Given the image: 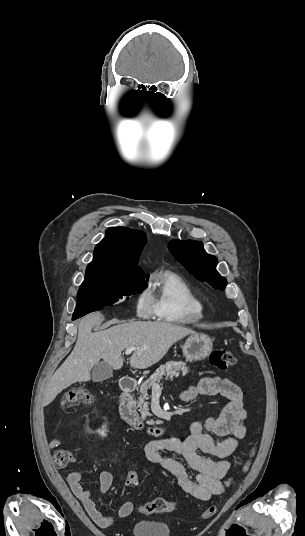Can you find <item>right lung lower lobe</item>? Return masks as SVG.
Here are the masks:
<instances>
[{
  "instance_id": "1",
  "label": "right lung lower lobe",
  "mask_w": 305,
  "mask_h": 536,
  "mask_svg": "<svg viewBox=\"0 0 305 536\" xmlns=\"http://www.w3.org/2000/svg\"><path fill=\"white\" fill-rule=\"evenodd\" d=\"M78 318H79L78 316H73L72 319L75 320V319H78Z\"/></svg>"
}]
</instances>
